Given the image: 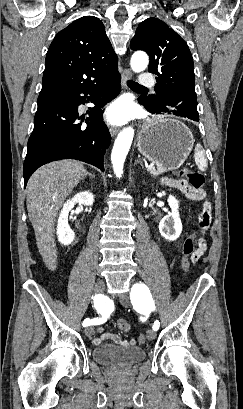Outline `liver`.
<instances>
[{
	"instance_id": "liver-1",
	"label": "liver",
	"mask_w": 243,
	"mask_h": 409,
	"mask_svg": "<svg viewBox=\"0 0 243 409\" xmlns=\"http://www.w3.org/2000/svg\"><path fill=\"white\" fill-rule=\"evenodd\" d=\"M86 174L79 161L61 160L40 167L28 181V216L35 232L37 248L49 270L54 271L57 267L55 217L66 197Z\"/></svg>"
}]
</instances>
